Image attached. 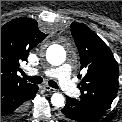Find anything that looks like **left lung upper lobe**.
Here are the masks:
<instances>
[{
    "mask_svg": "<svg viewBox=\"0 0 122 122\" xmlns=\"http://www.w3.org/2000/svg\"><path fill=\"white\" fill-rule=\"evenodd\" d=\"M71 33L80 54L82 78L80 99L108 109L118 91V64L110 48L87 26L71 24Z\"/></svg>",
    "mask_w": 122,
    "mask_h": 122,
    "instance_id": "5c2ea615",
    "label": "left lung upper lobe"
}]
</instances>
